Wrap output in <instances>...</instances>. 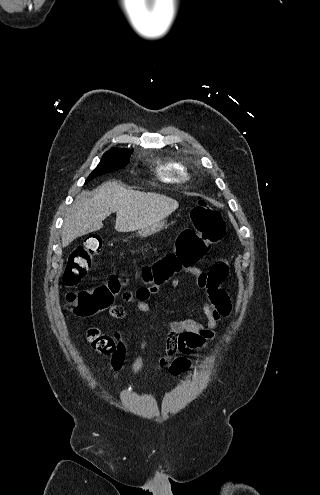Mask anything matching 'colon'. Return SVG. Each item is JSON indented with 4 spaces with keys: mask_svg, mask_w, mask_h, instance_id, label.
Wrapping results in <instances>:
<instances>
[{
    "mask_svg": "<svg viewBox=\"0 0 320 495\" xmlns=\"http://www.w3.org/2000/svg\"><path fill=\"white\" fill-rule=\"evenodd\" d=\"M191 219L193 226L179 232L173 251L162 256L151 268L146 267L142 270L141 275L144 280L158 284L175 271L195 266L207 256L213 245L224 238L226 232L224 220L220 212L211 207L206 200L198 201L191 211ZM101 248L102 238L93 234L71 252L62 277L65 287L75 288L81 283L91 268L93 257ZM121 283L122 279L113 275L106 284L90 290L69 292L66 295V305L79 316L91 317L111 307ZM146 297L139 292L136 295L137 299ZM87 338L99 353L109 355L115 351L113 338L102 334L96 328L88 330ZM116 353L112 358V362L115 363L119 361Z\"/></svg>",
    "mask_w": 320,
    "mask_h": 495,
    "instance_id": "5ec220e1",
    "label": "colon"
}]
</instances>
